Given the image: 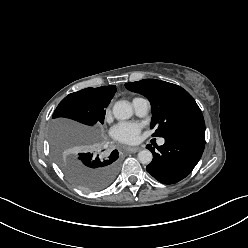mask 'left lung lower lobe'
<instances>
[{"instance_id": "obj_1", "label": "left lung lower lobe", "mask_w": 248, "mask_h": 248, "mask_svg": "<svg viewBox=\"0 0 248 248\" xmlns=\"http://www.w3.org/2000/svg\"><path fill=\"white\" fill-rule=\"evenodd\" d=\"M205 147V122L199 120L178 129L165 138L164 145L147 148L153 153L146 167L155 179L164 184H174L188 176L200 160Z\"/></svg>"}]
</instances>
